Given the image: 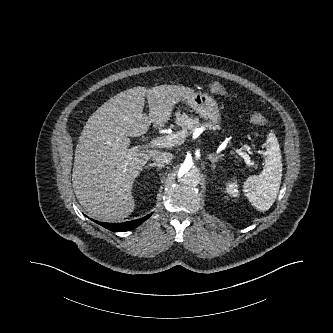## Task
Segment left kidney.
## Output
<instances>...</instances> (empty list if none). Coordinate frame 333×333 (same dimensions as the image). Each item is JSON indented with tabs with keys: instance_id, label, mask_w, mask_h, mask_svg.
<instances>
[{
	"instance_id": "5707ae66",
	"label": "left kidney",
	"mask_w": 333,
	"mask_h": 333,
	"mask_svg": "<svg viewBox=\"0 0 333 333\" xmlns=\"http://www.w3.org/2000/svg\"><path fill=\"white\" fill-rule=\"evenodd\" d=\"M226 192L231 196V197H239V191H238V185L236 182L234 183H228L226 187Z\"/></svg>"
}]
</instances>
